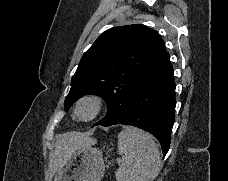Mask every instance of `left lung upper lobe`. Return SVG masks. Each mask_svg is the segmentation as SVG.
Listing matches in <instances>:
<instances>
[{
    "mask_svg": "<svg viewBox=\"0 0 228 181\" xmlns=\"http://www.w3.org/2000/svg\"><path fill=\"white\" fill-rule=\"evenodd\" d=\"M165 51L158 32L145 25H125L105 31L81 58L71 79L65 110L86 94L98 95L105 99L108 111L95 125H113L124 116L142 74Z\"/></svg>",
    "mask_w": 228,
    "mask_h": 181,
    "instance_id": "left-lung-upper-lobe-1",
    "label": "left lung upper lobe"
}]
</instances>
